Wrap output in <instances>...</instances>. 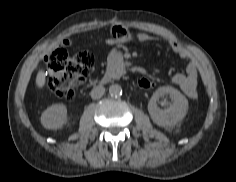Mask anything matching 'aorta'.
Listing matches in <instances>:
<instances>
[{
    "label": "aorta",
    "mask_w": 236,
    "mask_h": 182,
    "mask_svg": "<svg viewBox=\"0 0 236 182\" xmlns=\"http://www.w3.org/2000/svg\"><path fill=\"white\" fill-rule=\"evenodd\" d=\"M109 93L111 96H115V97L120 96L122 95V88L118 84H112L109 87Z\"/></svg>",
    "instance_id": "1"
}]
</instances>
